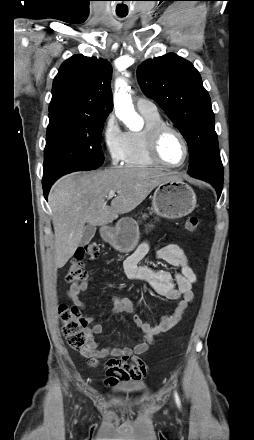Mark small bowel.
<instances>
[{
  "label": "small bowel",
  "instance_id": "1",
  "mask_svg": "<svg viewBox=\"0 0 254 440\" xmlns=\"http://www.w3.org/2000/svg\"><path fill=\"white\" fill-rule=\"evenodd\" d=\"M149 249V243L142 242L123 262L124 274L131 280L147 282L156 294L177 303L171 313L164 315L158 324L153 326L140 318L136 312V304L132 299L113 298L112 312L133 314L134 322L143 335L133 348L100 347L95 336L102 334V325L94 324L88 329L87 345L81 350V355L93 366L98 363L99 359L112 357L106 363V376L110 384H116L119 381H140L145 377L147 367L137 355L145 353L156 336L177 325L193 300L192 285L196 282L197 276L183 249L177 244H168L158 247L155 251L158 260L167 262L178 269L175 272L140 264ZM87 287L88 282L84 281L72 284L67 291L69 299L78 310L85 308L80 294ZM94 319V317H88L89 321H94ZM130 357H133L132 362L127 364L126 360Z\"/></svg>",
  "mask_w": 254,
  "mask_h": 440
}]
</instances>
